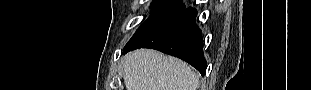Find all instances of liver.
<instances>
[{"mask_svg":"<svg viewBox=\"0 0 311 90\" xmlns=\"http://www.w3.org/2000/svg\"><path fill=\"white\" fill-rule=\"evenodd\" d=\"M123 79L126 90H195L198 85L187 63L148 49L126 55Z\"/></svg>","mask_w":311,"mask_h":90,"instance_id":"liver-1","label":"liver"}]
</instances>
